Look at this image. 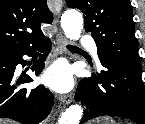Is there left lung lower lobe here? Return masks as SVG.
Returning <instances> with one entry per match:
<instances>
[{"instance_id": "1", "label": "left lung lower lobe", "mask_w": 145, "mask_h": 124, "mask_svg": "<svg viewBox=\"0 0 145 124\" xmlns=\"http://www.w3.org/2000/svg\"><path fill=\"white\" fill-rule=\"evenodd\" d=\"M101 64V72L81 80L75 95V100L86 106L82 122L110 115L145 124V87L141 70L113 61Z\"/></svg>"}]
</instances>
